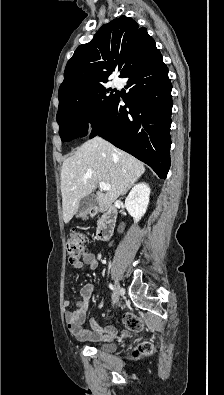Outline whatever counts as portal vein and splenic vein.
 <instances>
[{
    "label": "portal vein and splenic vein",
    "mask_w": 224,
    "mask_h": 395,
    "mask_svg": "<svg viewBox=\"0 0 224 395\" xmlns=\"http://www.w3.org/2000/svg\"><path fill=\"white\" fill-rule=\"evenodd\" d=\"M98 186H99V188L101 189V190H103V191H108V190H110V185L109 184H106V183H104V182H99L98 183Z\"/></svg>",
    "instance_id": "1"
}]
</instances>
